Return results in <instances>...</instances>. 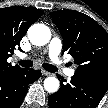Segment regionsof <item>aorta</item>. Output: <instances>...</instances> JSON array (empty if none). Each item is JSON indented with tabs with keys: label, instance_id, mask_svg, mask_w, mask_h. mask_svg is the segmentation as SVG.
Instances as JSON below:
<instances>
[{
	"label": "aorta",
	"instance_id": "aorta-1",
	"mask_svg": "<svg viewBox=\"0 0 108 108\" xmlns=\"http://www.w3.org/2000/svg\"><path fill=\"white\" fill-rule=\"evenodd\" d=\"M28 38L30 42L36 46L46 45L50 38V29L44 24H33L28 29ZM60 86L59 80L56 77L50 76L44 80V88L49 93H55L58 91Z\"/></svg>",
	"mask_w": 108,
	"mask_h": 108
}]
</instances>
